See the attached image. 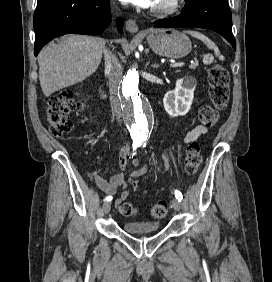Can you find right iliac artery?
<instances>
[{
	"instance_id": "obj_1",
	"label": "right iliac artery",
	"mask_w": 272,
	"mask_h": 282,
	"mask_svg": "<svg viewBox=\"0 0 272 282\" xmlns=\"http://www.w3.org/2000/svg\"><path fill=\"white\" fill-rule=\"evenodd\" d=\"M141 146V142L139 141H135L133 142V151L137 149V147ZM112 200V196H107L105 198V201H111Z\"/></svg>"
}]
</instances>
